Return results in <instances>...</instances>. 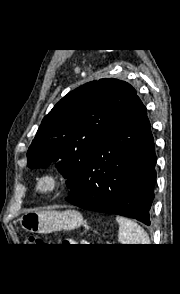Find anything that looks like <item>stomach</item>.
Listing matches in <instances>:
<instances>
[{"label":"stomach","mask_w":180,"mask_h":294,"mask_svg":"<svg viewBox=\"0 0 180 294\" xmlns=\"http://www.w3.org/2000/svg\"><path fill=\"white\" fill-rule=\"evenodd\" d=\"M18 221L29 232L46 234L76 229L83 223V218L76 210L37 211L23 214Z\"/></svg>","instance_id":"1"}]
</instances>
